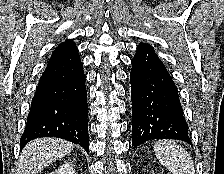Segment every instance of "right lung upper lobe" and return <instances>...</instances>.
Wrapping results in <instances>:
<instances>
[{"instance_id": "obj_1", "label": "right lung upper lobe", "mask_w": 224, "mask_h": 174, "mask_svg": "<svg viewBox=\"0 0 224 174\" xmlns=\"http://www.w3.org/2000/svg\"><path fill=\"white\" fill-rule=\"evenodd\" d=\"M75 52H77L75 43L72 40H66L54 50L50 60L61 58Z\"/></svg>"}]
</instances>
